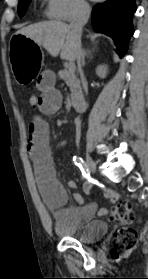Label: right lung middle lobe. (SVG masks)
<instances>
[{"label":"right lung middle lobe","mask_w":148,"mask_h":279,"mask_svg":"<svg viewBox=\"0 0 148 279\" xmlns=\"http://www.w3.org/2000/svg\"><path fill=\"white\" fill-rule=\"evenodd\" d=\"M31 0H20L18 5V15L22 17Z\"/></svg>","instance_id":"dd1d6c3e"}]
</instances>
